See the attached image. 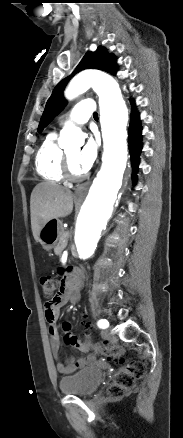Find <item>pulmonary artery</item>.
Listing matches in <instances>:
<instances>
[{
    "label": "pulmonary artery",
    "instance_id": "e3ab8cb5",
    "mask_svg": "<svg viewBox=\"0 0 183 438\" xmlns=\"http://www.w3.org/2000/svg\"><path fill=\"white\" fill-rule=\"evenodd\" d=\"M94 110L95 104L92 100H82L75 105V107L71 110L68 119L64 121L62 125H66L68 123L84 124L89 120Z\"/></svg>",
    "mask_w": 183,
    "mask_h": 438
}]
</instances>
